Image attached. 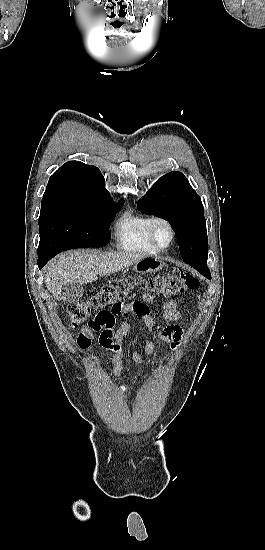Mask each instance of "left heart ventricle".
<instances>
[{
  "label": "left heart ventricle",
  "instance_id": "1",
  "mask_svg": "<svg viewBox=\"0 0 265 550\" xmlns=\"http://www.w3.org/2000/svg\"><path fill=\"white\" fill-rule=\"evenodd\" d=\"M155 237L160 245L166 246L170 241V234L164 225H158L155 228Z\"/></svg>",
  "mask_w": 265,
  "mask_h": 550
}]
</instances>
